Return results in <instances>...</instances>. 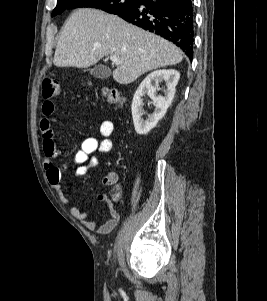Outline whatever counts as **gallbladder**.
<instances>
[{
    "mask_svg": "<svg viewBox=\"0 0 267 301\" xmlns=\"http://www.w3.org/2000/svg\"><path fill=\"white\" fill-rule=\"evenodd\" d=\"M90 75L97 79H106L110 76L111 71L105 65H97L91 69H89Z\"/></svg>",
    "mask_w": 267,
    "mask_h": 301,
    "instance_id": "gallbladder-1",
    "label": "gallbladder"
}]
</instances>
